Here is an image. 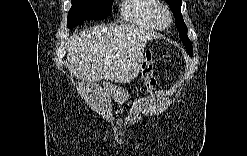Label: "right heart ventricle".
Returning <instances> with one entry per match:
<instances>
[{"label": "right heart ventricle", "mask_w": 247, "mask_h": 156, "mask_svg": "<svg viewBox=\"0 0 247 156\" xmlns=\"http://www.w3.org/2000/svg\"><path fill=\"white\" fill-rule=\"evenodd\" d=\"M156 0H128L123 2L120 14L123 19L145 29H158L154 22Z\"/></svg>", "instance_id": "obj_1"}]
</instances>
